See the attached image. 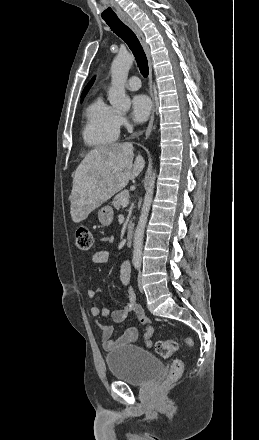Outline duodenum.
<instances>
[{"label":"duodenum","instance_id":"obj_1","mask_svg":"<svg viewBox=\"0 0 259 440\" xmlns=\"http://www.w3.org/2000/svg\"><path fill=\"white\" fill-rule=\"evenodd\" d=\"M133 234H134V230L132 227H129L127 232H126V243L128 246L132 245L133 242Z\"/></svg>","mask_w":259,"mask_h":440}]
</instances>
